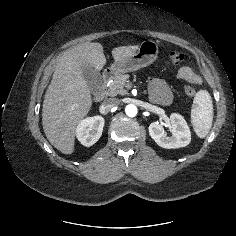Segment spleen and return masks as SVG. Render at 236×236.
Masks as SVG:
<instances>
[{"label": "spleen", "instance_id": "1", "mask_svg": "<svg viewBox=\"0 0 236 236\" xmlns=\"http://www.w3.org/2000/svg\"><path fill=\"white\" fill-rule=\"evenodd\" d=\"M191 122L197 136L205 138L213 122V104L208 91L200 90L196 93L191 110Z\"/></svg>", "mask_w": 236, "mask_h": 236}]
</instances>
